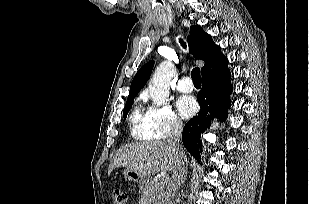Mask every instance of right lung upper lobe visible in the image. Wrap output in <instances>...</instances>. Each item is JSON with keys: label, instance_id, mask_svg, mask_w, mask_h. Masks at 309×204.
Returning <instances> with one entry per match:
<instances>
[{"label": "right lung upper lobe", "instance_id": "right-lung-upper-lobe-1", "mask_svg": "<svg viewBox=\"0 0 309 204\" xmlns=\"http://www.w3.org/2000/svg\"><path fill=\"white\" fill-rule=\"evenodd\" d=\"M190 53L195 59H201L205 62L201 68L202 77L206 74L216 72L227 65V58L221 53V49L217 46L211 36L203 31V29L196 25L191 27V36L188 37ZM154 61L145 64L135 75L130 87V93L127 98L134 99L140 89L143 88L147 82Z\"/></svg>", "mask_w": 309, "mask_h": 204}]
</instances>
